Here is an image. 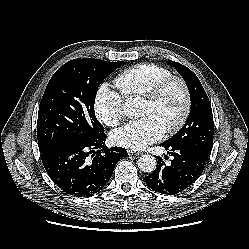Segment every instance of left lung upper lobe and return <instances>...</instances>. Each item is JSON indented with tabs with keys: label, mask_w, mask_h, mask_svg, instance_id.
<instances>
[{
	"label": "left lung upper lobe",
	"mask_w": 249,
	"mask_h": 249,
	"mask_svg": "<svg viewBox=\"0 0 249 249\" xmlns=\"http://www.w3.org/2000/svg\"><path fill=\"white\" fill-rule=\"evenodd\" d=\"M185 80L191 97V111L185 125L170 139L169 144L195 148L209 156L213 145V114L209 98L198 77L186 66L168 61Z\"/></svg>",
	"instance_id": "obj_1"
}]
</instances>
